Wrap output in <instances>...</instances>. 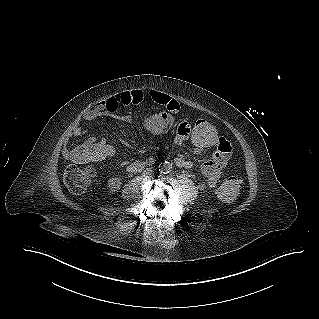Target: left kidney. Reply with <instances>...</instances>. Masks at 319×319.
Returning a JSON list of instances; mask_svg holds the SVG:
<instances>
[{
    "mask_svg": "<svg viewBox=\"0 0 319 319\" xmlns=\"http://www.w3.org/2000/svg\"><path fill=\"white\" fill-rule=\"evenodd\" d=\"M200 188H201V189L204 188L203 184L200 185Z\"/></svg>",
    "mask_w": 319,
    "mask_h": 319,
    "instance_id": "1",
    "label": "left kidney"
}]
</instances>
